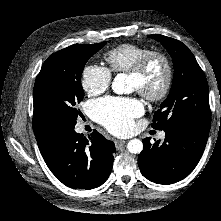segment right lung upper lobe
<instances>
[{
  "mask_svg": "<svg viewBox=\"0 0 221 221\" xmlns=\"http://www.w3.org/2000/svg\"><path fill=\"white\" fill-rule=\"evenodd\" d=\"M52 126V123L48 120L43 111L34 105L33 113V131L35 136L42 133L46 129Z\"/></svg>",
  "mask_w": 221,
  "mask_h": 221,
  "instance_id": "1",
  "label": "right lung upper lobe"
}]
</instances>
